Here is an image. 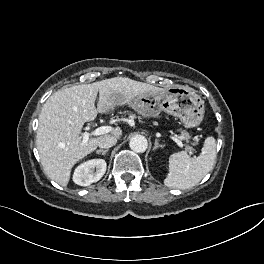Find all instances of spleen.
<instances>
[{"mask_svg":"<svg viewBox=\"0 0 264 264\" xmlns=\"http://www.w3.org/2000/svg\"><path fill=\"white\" fill-rule=\"evenodd\" d=\"M215 160L216 141L210 136L205 139L198 157L190 158L186 152H178L170 156L169 173L164 184L169 188H191L213 169Z\"/></svg>","mask_w":264,"mask_h":264,"instance_id":"spleen-1","label":"spleen"}]
</instances>
